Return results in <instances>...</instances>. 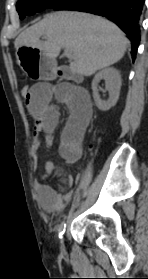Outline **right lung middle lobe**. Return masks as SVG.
I'll use <instances>...</instances> for the list:
<instances>
[{"mask_svg": "<svg viewBox=\"0 0 148 279\" xmlns=\"http://www.w3.org/2000/svg\"><path fill=\"white\" fill-rule=\"evenodd\" d=\"M72 0H18L16 8L20 19L26 15H33L47 8H54L59 4H63Z\"/></svg>", "mask_w": 148, "mask_h": 279, "instance_id": "obj_1", "label": "right lung middle lobe"}]
</instances>
